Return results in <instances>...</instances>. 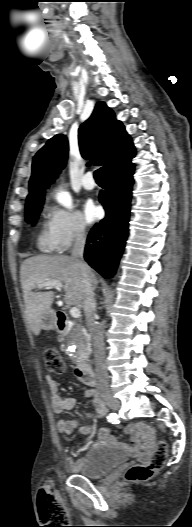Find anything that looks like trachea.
Segmentation results:
<instances>
[{
  "instance_id": "1",
  "label": "trachea",
  "mask_w": 192,
  "mask_h": 527,
  "mask_svg": "<svg viewBox=\"0 0 192 527\" xmlns=\"http://www.w3.org/2000/svg\"><path fill=\"white\" fill-rule=\"evenodd\" d=\"M94 178L96 181H103V170L102 168L97 169L94 172Z\"/></svg>"
}]
</instances>
